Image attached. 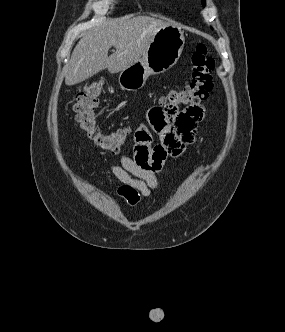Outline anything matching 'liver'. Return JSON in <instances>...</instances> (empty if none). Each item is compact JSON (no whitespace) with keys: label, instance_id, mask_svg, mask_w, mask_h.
I'll return each mask as SVG.
<instances>
[{"label":"liver","instance_id":"obj_1","mask_svg":"<svg viewBox=\"0 0 285 332\" xmlns=\"http://www.w3.org/2000/svg\"><path fill=\"white\" fill-rule=\"evenodd\" d=\"M171 23L149 17H123L105 21L86 31L73 50L65 71V84L72 86L104 69L123 71L140 61L155 34ZM114 46L115 53L108 56Z\"/></svg>","mask_w":285,"mask_h":332}]
</instances>
